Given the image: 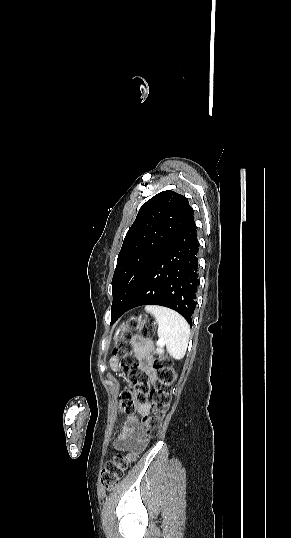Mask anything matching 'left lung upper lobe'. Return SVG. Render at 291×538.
<instances>
[{
    "label": "left lung upper lobe",
    "instance_id": "5c2ea615",
    "mask_svg": "<svg viewBox=\"0 0 291 538\" xmlns=\"http://www.w3.org/2000/svg\"><path fill=\"white\" fill-rule=\"evenodd\" d=\"M193 214L188 199L170 190L141 206L118 255L111 311L126 307L133 299L160 254L194 220Z\"/></svg>",
    "mask_w": 291,
    "mask_h": 538
}]
</instances>
